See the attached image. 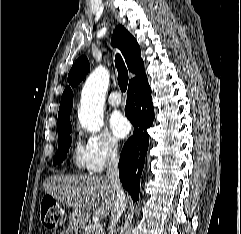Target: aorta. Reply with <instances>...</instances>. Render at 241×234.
Here are the masks:
<instances>
[{
    "label": "aorta",
    "mask_w": 241,
    "mask_h": 234,
    "mask_svg": "<svg viewBox=\"0 0 241 234\" xmlns=\"http://www.w3.org/2000/svg\"><path fill=\"white\" fill-rule=\"evenodd\" d=\"M109 72L97 67L87 78L81 93L79 121L90 132H98L103 126V107L109 85Z\"/></svg>",
    "instance_id": "762f6f07"
}]
</instances>
